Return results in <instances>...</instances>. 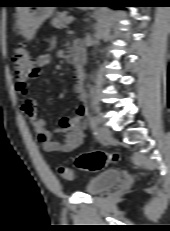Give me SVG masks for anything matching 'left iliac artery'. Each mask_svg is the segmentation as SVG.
Returning <instances> with one entry per match:
<instances>
[{"instance_id":"obj_1","label":"left iliac artery","mask_w":170,"mask_h":231,"mask_svg":"<svg viewBox=\"0 0 170 231\" xmlns=\"http://www.w3.org/2000/svg\"><path fill=\"white\" fill-rule=\"evenodd\" d=\"M90 126L91 127H95L96 124H97V118L96 117H93L90 122H89Z\"/></svg>"}]
</instances>
